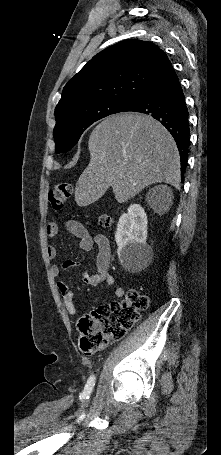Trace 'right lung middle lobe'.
<instances>
[{
	"label": "right lung middle lobe",
	"instance_id": "dd1d6c3e",
	"mask_svg": "<svg viewBox=\"0 0 221 455\" xmlns=\"http://www.w3.org/2000/svg\"><path fill=\"white\" fill-rule=\"evenodd\" d=\"M129 104L131 103L103 101L56 119L53 132L55 152L59 154L69 151L90 125L108 115L123 112Z\"/></svg>",
	"mask_w": 221,
	"mask_h": 455
}]
</instances>
